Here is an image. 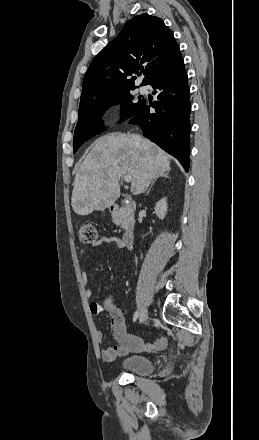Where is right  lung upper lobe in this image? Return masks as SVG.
<instances>
[{"instance_id":"obj_1","label":"right lung upper lobe","mask_w":259,"mask_h":440,"mask_svg":"<svg viewBox=\"0 0 259 440\" xmlns=\"http://www.w3.org/2000/svg\"><path fill=\"white\" fill-rule=\"evenodd\" d=\"M180 53L176 40L164 22L148 14L129 20L120 34L104 47L90 64L82 87L79 108L114 93L135 89L139 69L146 85Z\"/></svg>"}]
</instances>
